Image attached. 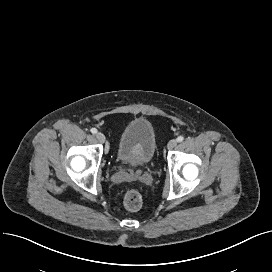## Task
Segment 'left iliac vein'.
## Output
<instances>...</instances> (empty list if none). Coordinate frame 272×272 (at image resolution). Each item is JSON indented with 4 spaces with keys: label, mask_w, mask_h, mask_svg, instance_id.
Returning <instances> with one entry per match:
<instances>
[{
    "label": "left iliac vein",
    "mask_w": 272,
    "mask_h": 272,
    "mask_svg": "<svg viewBox=\"0 0 272 272\" xmlns=\"http://www.w3.org/2000/svg\"><path fill=\"white\" fill-rule=\"evenodd\" d=\"M177 145V140L176 139H172L168 142L167 144V149L168 150H172L173 148H175Z\"/></svg>",
    "instance_id": "1"
}]
</instances>
